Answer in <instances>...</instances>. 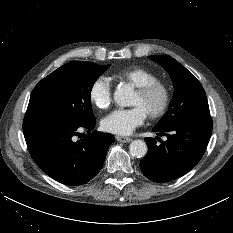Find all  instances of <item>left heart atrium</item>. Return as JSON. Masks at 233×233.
Instances as JSON below:
<instances>
[{
    "label": "left heart atrium",
    "mask_w": 233,
    "mask_h": 233,
    "mask_svg": "<svg viewBox=\"0 0 233 233\" xmlns=\"http://www.w3.org/2000/svg\"><path fill=\"white\" fill-rule=\"evenodd\" d=\"M146 116L147 114L139 106H133L128 109H117L102 120V127L110 133L127 135L142 125Z\"/></svg>",
    "instance_id": "obj_1"
}]
</instances>
